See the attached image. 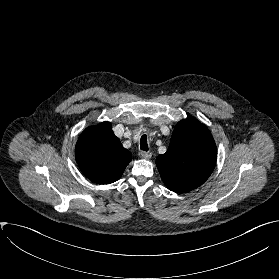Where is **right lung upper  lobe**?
I'll list each match as a JSON object with an SVG mask.
<instances>
[{
	"mask_svg": "<svg viewBox=\"0 0 279 279\" xmlns=\"http://www.w3.org/2000/svg\"><path fill=\"white\" fill-rule=\"evenodd\" d=\"M75 156L82 173L100 184L117 181L132 159L109 122L85 129L77 141Z\"/></svg>",
	"mask_w": 279,
	"mask_h": 279,
	"instance_id": "cb5924a9",
	"label": "right lung upper lobe"
}]
</instances>
